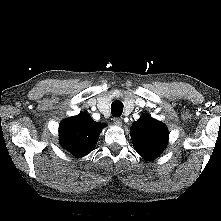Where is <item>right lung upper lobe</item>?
I'll list each match as a JSON object with an SVG mask.
<instances>
[{"label": "right lung upper lobe", "instance_id": "cb5924a9", "mask_svg": "<svg viewBox=\"0 0 221 221\" xmlns=\"http://www.w3.org/2000/svg\"><path fill=\"white\" fill-rule=\"evenodd\" d=\"M105 123L95 122L87 113L63 120L59 126L60 144L73 156L80 158L95 147Z\"/></svg>", "mask_w": 221, "mask_h": 221}]
</instances>
